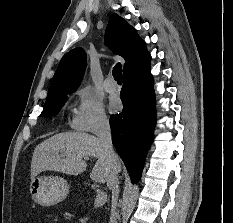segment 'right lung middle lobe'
Wrapping results in <instances>:
<instances>
[{
  "label": "right lung middle lobe",
  "instance_id": "right-lung-middle-lobe-1",
  "mask_svg": "<svg viewBox=\"0 0 233 223\" xmlns=\"http://www.w3.org/2000/svg\"><path fill=\"white\" fill-rule=\"evenodd\" d=\"M64 100H65V98H63L62 100H60L58 102L44 105L42 115L45 118L46 117L50 118V117L56 115L60 111L61 107L64 105Z\"/></svg>",
  "mask_w": 233,
  "mask_h": 223
}]
</instances>
